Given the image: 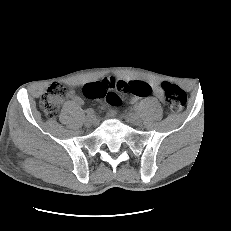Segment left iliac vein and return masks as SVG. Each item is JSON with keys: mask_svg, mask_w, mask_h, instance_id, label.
<instances>
[{"mask_svg": "<svg viewBox=\"0 0 231 231\" xmlns=\"http://www.w3.org/2000/svg\"><path fill=\"white\" fill-rule=\"evenodd\" d=\"M128 120L134 125H140L142 123V119L138 114H130Z\"/></svg>", "mask_w": 231, "mask_h": 231, "instance_id": "left-iliac-vein-1", "label": "left iliac vein"}]
</instances>
